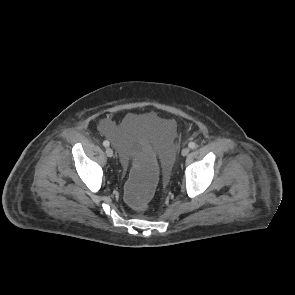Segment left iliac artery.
<instances>
[{"label":"left iliac artery","instance_id":"obj_1","mask_svg":"<svg viewBox=\"0 0 295 295\" xmlns=\"http://www.w3.org/2000/svg\"><path fill=\"white\" fill-rule=\"evenodd\" d=\"M188 146H189L190 149H194V148H196V143L195 142H190L188 144Z\"/></svg>","mask_w":295,"mask_h":295}]
</instances>
